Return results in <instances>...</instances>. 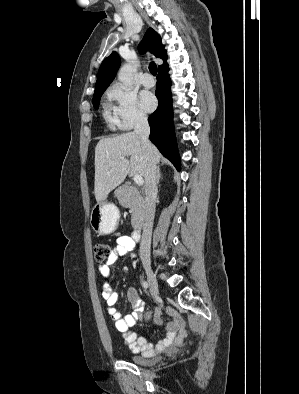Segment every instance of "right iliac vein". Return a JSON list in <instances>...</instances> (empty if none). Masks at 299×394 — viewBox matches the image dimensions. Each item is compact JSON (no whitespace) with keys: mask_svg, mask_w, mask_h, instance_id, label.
Wrapping results in <instances>:
<instances>
[{"mask_svg":"<svg viewBox=\"0 0 299 394\" xmlns=\"http://www.w3.org/2000/svg\"><path fill=\"white\" fill-rule=\"evenodd\" d=\"M144 268L147 274V281H148L150 292L153 296H156L158 295V283L155 274L153 273L150 264H146Z\"/></svg>","mask_w":299,"mask_h":394,"instance_id":"1","label":"right iliac vein"}]
</instances>
